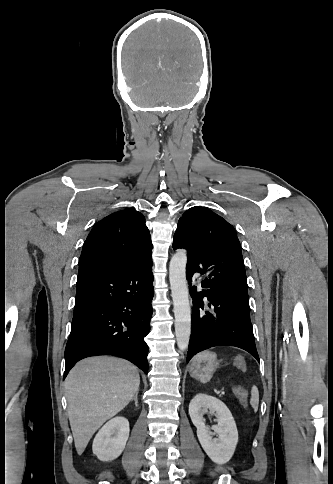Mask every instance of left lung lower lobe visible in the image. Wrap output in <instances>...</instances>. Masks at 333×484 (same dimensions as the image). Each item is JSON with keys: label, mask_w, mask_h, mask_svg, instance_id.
Returning <instances> with one entry per match:
<instances>
[{"label": "left lung lower lobe", "mask_w": 333, "mask_h": 484, "mask_svg": "<svg viewBox=\"0 0 333 484\" xmlns=\"http://www.w3.org/2000/svg\"><path fill=\"white\" fill-rule=\"evenodd\" d=\"M173 248L188 251L186 275L194 306L187 362L215 346L239 347L259 361L240 243L229 235L195 241L181 228L174 235ZM195 273L206 274L200 292L193 286Z\"/></svg>", "instance_id": "obj_1"}]
</instances>
